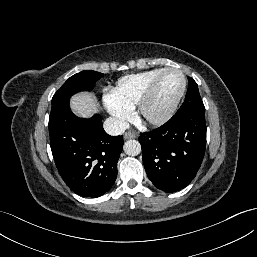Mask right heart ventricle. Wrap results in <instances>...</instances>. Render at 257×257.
Returning <instances> with one entry per match:
<instances>
[{"mask_svg": "<svg viewBox=\"0 0 257 257\" xmlns=\"http://www.w3.org/2000/svg\"><path fill=\"white\" fill-rule=\"evenodd\" d=\"M165 68L152 69L145 72L122 77L109 95L113 100L129 109L138 105L140 98L146 92L155 77Z\"/></svg>", "mask_w": 257, "mask_h": 257, "instance_id": "e07e8e85", "label": "right heart ventricle"}]
</instances>
